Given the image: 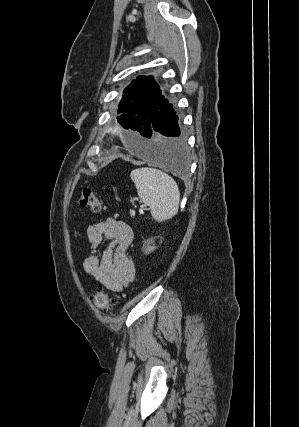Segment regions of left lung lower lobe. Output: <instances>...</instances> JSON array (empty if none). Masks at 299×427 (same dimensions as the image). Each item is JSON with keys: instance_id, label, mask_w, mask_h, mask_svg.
I'll return each mask as SVG.
<instances>
[{"instance_id": "obj_1", "label": "left lung lower lobe", "mask_w": 299, "mask_h": 427, "mask_svg": "<svg viewBox=\"0 0 299 427\" xmlns=\"http://www.w3.org/2000/svg\"><path fill=\"white\" fill-rule=\"evenodd\" d=\"M148 115L142 118L140 135L149 140H145L137 150L153 163L174 172H185L188 167L186 143L172 104L166 100L156 109L151 108Z\"/></svg>"}]
</instances>
